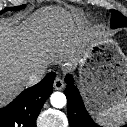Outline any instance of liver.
<instances>
[{
	"label": "liver",
	"instance_id": "obj_1",
	"mask_svg": "<svg viewBox=\"0 0 127 127\" xmlns=\"http://www.w3.org/2000/svg\"><path fill=\"white\" fill-rule=\"evenodd\" d=\"M79 24L75 14L57 7L41 9L22 23L0 21V107L29 86L38 68L56 61L73 67L86 36Z\"/></svg>",
	"mask_w": 127,
	"mask_h": 127
}]
</instances>
